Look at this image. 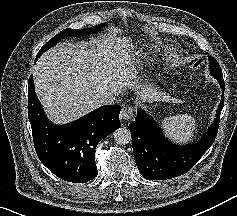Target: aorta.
Returning a JSON list of instances; mask_svg holds the SVG:
<instances>
[{"label": "aorta", "instance_id": "762f6f07", "mask_svg": "<svg viewBox=\"0 0 237 216\" xmlns=\"http://www.w3.org/2000/svg\"><path fill=\"white\" fill-rule=\"evenodd\" d=\"M113 138L119 145H126L131 143V132L127 127H120L113 132Z\"/></svg>", "mask_w": 237, "mask_h": 216}]
</instances>
